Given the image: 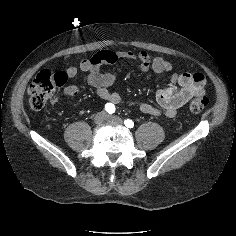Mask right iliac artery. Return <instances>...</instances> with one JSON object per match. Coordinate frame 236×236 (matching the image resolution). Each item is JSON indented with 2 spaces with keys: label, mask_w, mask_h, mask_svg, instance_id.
<instances>
[{
  "label": "right iliac artery",
  "mask_w": 236,
  "mask_h": 236,
  "mask_svg": "<svg viewBox=\"0 0 236 236\" xmlns=\"http://www.w3.org/2000/svg\"><path fill=\"white\" fill-rule=\"evenodd\" d=\"M105 110L109 113L112 114L115 112V106L112 103H107L105 105Z\"/></svg>",
  "instance_id": "1"
}]
</instances>
